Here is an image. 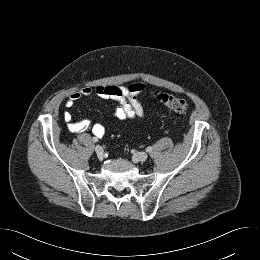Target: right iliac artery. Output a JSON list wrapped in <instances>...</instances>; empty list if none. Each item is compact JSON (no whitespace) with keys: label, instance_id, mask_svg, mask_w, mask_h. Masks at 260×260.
Masks as SVG:
<instances>
[{"label":"right iliac artery","instance_id":"82829eb1","mask_svg":"<svg viewBox=\"0 0 260 260\" xmlns=\"http://www.w3.org/2000/svg\"><path fill=\"white\" fill-rule=\"evenodd\" d=\"M93 141H94V142H97L98 140H97V138H93Z\"/></svg>","mask_w":260,"mask_h":260}]
</instances>
